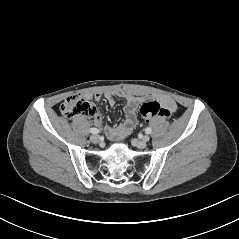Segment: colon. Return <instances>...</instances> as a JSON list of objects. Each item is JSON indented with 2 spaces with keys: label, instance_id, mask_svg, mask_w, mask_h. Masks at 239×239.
<instances>
[{
  "label": "colon",
  "instance_id": "5ec220e1",
  "mask_svg": "<svg viewBox=\"0 0 239 239\" xmlns=\"http://www.w3.org/2000/svg\"><path fill=\"white\" fill-rule=\"evenodd\" d=\"M61 113L67 118L75 116H90L95 112V106L87 95L74 94L65 99L60 107ZM141 115L145 120L154 117L166 118L170 112L157 101L146 102L141 106Z\"/></svg>",
  "mask_w": 239,
  "mask_h": 239
}]
</instances>
